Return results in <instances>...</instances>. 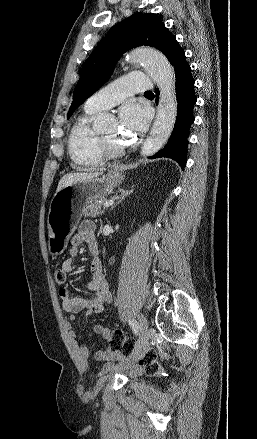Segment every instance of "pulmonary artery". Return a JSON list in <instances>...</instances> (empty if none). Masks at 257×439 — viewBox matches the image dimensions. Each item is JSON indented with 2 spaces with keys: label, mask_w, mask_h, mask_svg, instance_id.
Returning a JSON list of instances; mask_svg holds the SVG:
<instances>
[{
  "label": "pulmonary artery",
  "mask_w": 257,
  "mask_h": 439,
  "mask_svg": "<svg viewBox=\"0 0 257 439\" xmlns=\"http://www.w3.org/2000/svg\"><path fill=\"white\" fill-rule=\"evenodd\" d=\"M153 88V80L145 73H129L92 95L86 101L85 110H107L132 93H146L150 92Z\"/></svg>",
  "instance_id": "pulmonary-artery-1"
}]
</instances>
